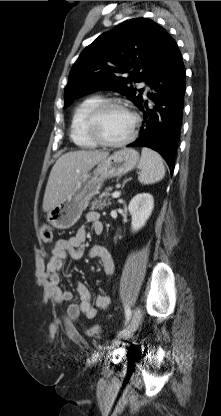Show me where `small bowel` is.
Returning <instances> with one entry per match:
<instances>
[{
	"label": "small bowel",
	"instance_id": "obj_1",
	"mask_svg": "<svg viewBox=\"0 0 221 416\" xmlns=\"http://www.w3.org/2000/svg\"><path fill=\"white\" fill-rule=\"evenodd\" d=\"M85 220L86 224L91 225L95 234L103 232L104 226L98 212H87ZM86 235V226H82L72 237L58 240L52 246L50 253L44 254L45 266L43 275L47 280L49 292L53 300L58 304L69 302L73 298L72 292L62 285L60 274L68 256L74 259H79L82 256ZM90 256L99 259L106 275L114 273V260L105 247L100 245L92 247ZM76 291L80 296V302L70 303L67 307V315L73 321H79L81 315L88 320H92L97 316L99 310H105L110 305V298L105 294H99L92 300L88 288L80 281L76 282Z\"/></svg>",
	"mask_w": 221,
	"mask_h": 416
}]
</instances>
